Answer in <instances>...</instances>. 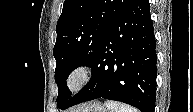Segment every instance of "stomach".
Here are the masks:
<instances>
[{
  "label": "stomach",
  "mask_w": 193,
  "mask_h": 112,
  "mask_svg": "<svg viewBox=\"0 0 193 112\" xmlns=\"http://www.w3.org/2000/svg\"><path fill=\"white\" fill-rule=\"evenodd\" d=\"M76 112H107L105 107L99 102H93L83 105Z\"/></svg>",
  "instance_id": "obj_1"
}]
</instances>
